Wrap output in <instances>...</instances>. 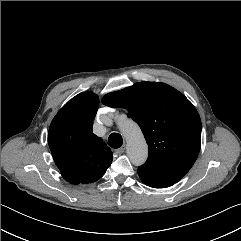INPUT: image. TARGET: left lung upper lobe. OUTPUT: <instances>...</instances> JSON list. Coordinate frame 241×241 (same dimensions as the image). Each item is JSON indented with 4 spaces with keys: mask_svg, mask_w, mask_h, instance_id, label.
<instances>
[{
    "mask_svg": "<svg viewBox=\"0 0 241 241\" xmlns=\"http://www.w3.org/2000/svg\"><path fill=\"white\" fill-rule=\"evenodd\" d=\"M102 102L127 109L140 126L149 156L138 170L174 184L193 166L200 151L201 120L178 90L144 81L107 94Z\"/></svg>",
    "mask_w": 241,
    "mask_h": 241,
    "instance_id": "1",
    "label": "left lung upper lobe"
}]
</instances>
